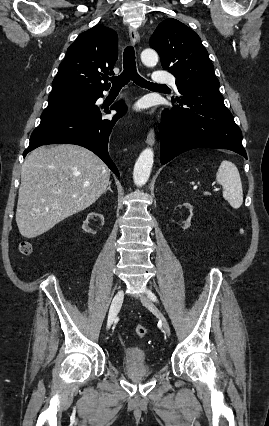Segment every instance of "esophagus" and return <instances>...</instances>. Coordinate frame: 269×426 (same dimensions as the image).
Listing matches in <instances>:
<instances>
[{"instance_id": "34e87169", "label": "esophagus", "mask_w": 269, "mask_h": 426, "mask_svg": "<svg viewBox=\"0 0 269 426\" xmlns=\"http://www.w3.org/2000/svg\"><path fill=\"white\" fill-rule=\"evenodd\" d=\"M129 37H130V41L133 45L137 44L139 42V34L137 32V30L130 26L129 27ZM146 142L149 145H153L155 142V132L153 129H150L148 134H147V139Z\"/></svg>"}]
</instances>
